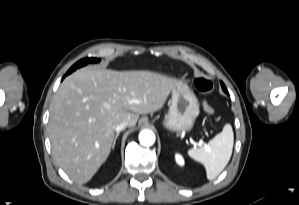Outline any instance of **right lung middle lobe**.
<instances>
[{
  "instance_id": "dd1d6c3e",
  "label": "right lung middle lobe",
  "mask_w": 299,
  "mask_h": 205,
  "mask_svg": "<svg viewBox=\"0 0 299 205\" xmlns=\"http://www.w3.org/2000/svg\"><path fill=\"white\" fill-rule=\"evenodd\" d=\"M99 61H100V59H97V58H85V59H82V60L78 61L77 63H75L69 69V71L67 72V74L71 73L72 71L76 70L79 67L85 66L88 63H97Z\"/></svg>"
}]
</instances>
